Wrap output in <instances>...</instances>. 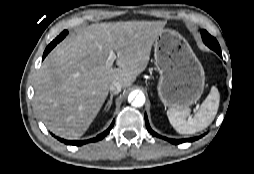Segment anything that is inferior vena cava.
Wrapping results in <instances>:
<instances>
[{
    "label": "inferior vena cava",
    "instance_id": "602c4592",
    "mask_svg": "<svg viewBox=\"0 0 254 174\" xmlns=\"http://www.w3.org/2000/svg\"><path fill=\"white\" fill-rule=\"evenodd\" d=\"M122 89V85L120 82L114 81L110 86H109V90L110 92H116L119 93Z\"/></svg>",
    "mask_w": 254,
    "mask_h": 174
}]
</instances>
